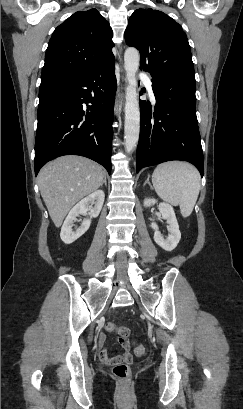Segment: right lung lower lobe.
Here are the masks:
<instances>
[{
  "instance_id": "98d812e1",
  "label": "right lung lower lobe",
  "mask_w": 243,
  "mask_h": 409,
  "mask_svg": "<svg viewBox=\"0 0 243 409\" xmlns=\"http://www.w3.org/2000/svg\"><path fill=\"white\" fill-rule=\"evenodd\" d=\"M114 70L109 62L84 76L40 87L35 175L48 161L69 154L88 157L111 173Z\"/></svg>"
}]
</instances>
